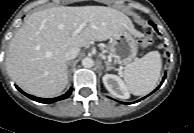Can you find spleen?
I'll use <instances>...</instances> for the list:
<instances>
[{"label": "spleen", "mask_w": 194, "mask_h": 133, "mask_svg": "<svg viewBox=\"0 0 194 133\" xmlns=\"http://www.w3.org/2000/svg\"><path fill=\"white\" fill-rule=\"evenodd\" d=\"M161 68L162 61L158 51H151L136 59L122 73L127 89L136 96L148 94L156 87Z\"/></svg>", "instance_id": "1"}]
</instances>
